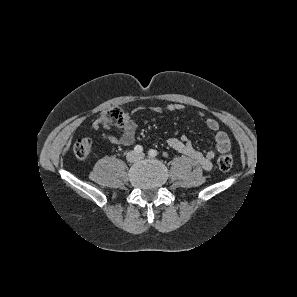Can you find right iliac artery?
Wrapping results in <instances>:
<instances>
[{
	"mask_svg": "<svg viewBox=\"0 0 297 297\" xmlns=\"http://www.w3.org/2000/svg\"><path fill=\"white\" fill-rule=\"evenodd\" d=\"M134 151H135L136 153H142V152H143V147H142L141 145H136V146L134 147Z\"/></svg>",
	"mask_w": 297,
	"mask_h": 297,
	"instance_id": "right-iliac-artery-1",
	"label": "right iliac artery"
}]
</instances>
